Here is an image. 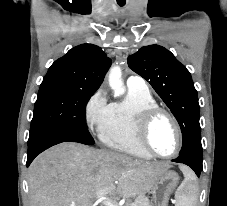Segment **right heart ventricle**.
<instances>
[{
    "label": "right heart ventricle",
    "instance_id": "e07e8e85",
    "mask_svg": "<svg viewBox=\"0 0 227 206\" xmlns=\"http://www.w3.org/2000/svg\"><path fill=\"white\" fill-rule=\"evenodd\" d=\"M152 106H157V103L149 90L128 89L123 101L110 104L107 121L99 133L102 143L108 148L137 158H152L142 149L136 138L137 117Z\"/></svg>",
    "mask_w": 227,
    "mask_h": 206
}]
</instances>
